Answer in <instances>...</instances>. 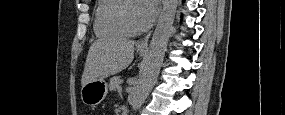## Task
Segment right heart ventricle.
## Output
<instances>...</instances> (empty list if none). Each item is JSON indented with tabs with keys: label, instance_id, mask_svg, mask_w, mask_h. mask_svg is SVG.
<instances>
[{
	"label": "right heart ventricle",
	"instance_id": "e07e8e85",
	"mask_svg": "<svg viewBox=\"0 0 285 115\" xmlns=\"http://www.w3.org/2000/svg\"><path fill=\"white\" fill-rule=\"evenodd\" d=\"M123 0H100L94 11V32L102 38H123L131 35L119 21Z\"/></svg>",
	"mask_w": 285,
	"mask_h": 115
}]
</instances>
